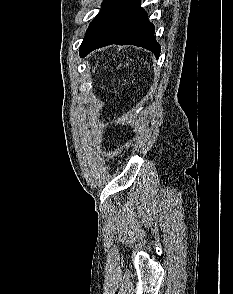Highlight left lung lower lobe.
I'll return each instance as SVG.
<instances>
[{
	"instance_id": "0a47b994",
	"label": "left lung lower lobe",
	"mask_w": 233,
	"mask_h": 294,
	"mask_svg": "<svg viewBox=\"0 0 233 294\" xmlns=\"http://www.w3.org/2000/svg\"><path fill=\"white\" fill-rule=\"evenodd\" d=\"M154 29L140 0H112L83 42L80 56L111 44H132L152 51L158 58L161 49Z\"/></svg>"
}]
</instances>
